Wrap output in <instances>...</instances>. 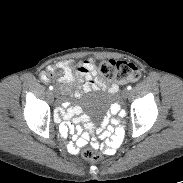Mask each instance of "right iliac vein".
<instances>
[{
	"instance_id": "obj_1",
	"label": "right iliac vein",
	"mask_w": 183,
	"mask_h": 183,
	"mask_svg": "<svg viewBox=\"0 0 183 183\" xmlns=\"http://www.w3.org/2000/svg\"><path fill=\"white\" fill-rule=\"evenodd\" d=\"M52 93L55 97L59 96V91L57 89H54Z\"/></svg>"
}]
</instances>
